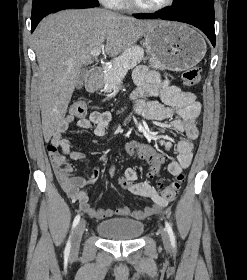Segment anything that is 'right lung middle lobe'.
Returning a JSON list of instances; mask_svg holds the SVG:
<instances>
[{
    "instance_id": "right-lung-middle-lobe-1",
    "label": "right lung middle lobe",
    "mask_w": 247,
    "mask_h": 280,
    "mask_svg": "<svg viewBox=\"0 0 247 280\" xmlns=\"http://www.w3.org/2000/svg\"><path fill=\"white\" fill-rule=\"evenodd\" d=\"M84 2L93 4L95 6L99 5L98 0H33L31 21L45 16L52 8L65 4V3H76Z\"/></svg>"
}]
</instances>
